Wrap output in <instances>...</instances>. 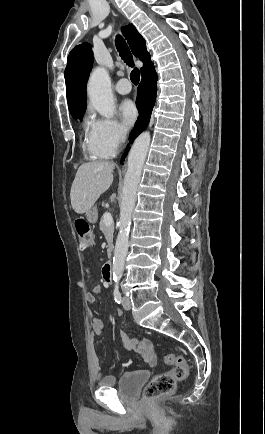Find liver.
I'll return each instance as SVG.
<instances>
[{
    "label": "liver",
    "instance_id": "liver-1",
    "mask_svg": "<svg viewBox=\"0 0 265 434\" xmlns=\"http://www.w3.org/2000/svg\"><path fill=\"white\" fill-rule=\"evenodd\" d=\"M113 170L115 164L111 162H90L78 168L70 192L71 206L76 214L91 210L101 194L110 188Z\"/></svg>",
    "mask_w": 265,
    "mask_h": 434
}]
</instances>
